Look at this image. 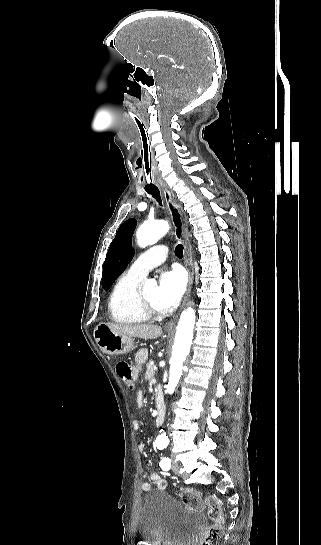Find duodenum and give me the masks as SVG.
<instances>
[{"label": "duodenum", "instance_id": "duodenum-1", "mask_svg": "<svg viewBox=\"0 0 321 545\" xmlns=\"http://www.w3.org/2000/svg\"><path fill=\"white\" fill-rule=\"evenodd\" d=\"M155 399H156V406H157V418L156 423L157 425H161L164 420V413H165V403H164V395L160 388H157L155 390Z\"/></svg>", "mask_w": 321, "mask_h": 545}]
</instances>
